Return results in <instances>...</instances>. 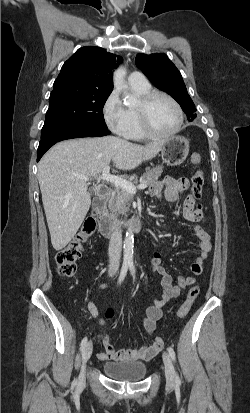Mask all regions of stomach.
I'll use <instances>...</instances> for the list:
<instances>
[{
	"mask_svg": "<svg viewBox=\"0 0 250 413\" xmlns=\"http://www.w3.org/2000/svg\"><path fill=\"white\" fill-rule=\"evenodd\" d=\"M161 157L169 166L182 164L189 153V141L183 136H173L164 140Z\"/></svg>",
	"mask_w": 250,
	"mask_h": 413,
	"instance_id": "1",
	"label": "stomach"
}]
</instances>
